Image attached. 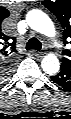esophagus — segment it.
<instances>
[{
	"label": "esophagus",
	"instance_id": "esophagus-1",
	"mask_svg": "<svg viewBox=\"0 0 71 119\" xmlns=\"http://www.w3.org/2000/svg\"><path fill=\"white\" fill-rule=\"evenodd\" d=\"M33 55L38 58H41V57H43L44 54H43V52L33 51Z\"/></svg>",
	"mask_w": 71,
	"mask_h": 119
}]
</instances>
